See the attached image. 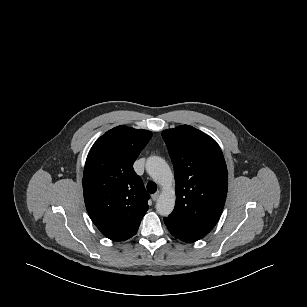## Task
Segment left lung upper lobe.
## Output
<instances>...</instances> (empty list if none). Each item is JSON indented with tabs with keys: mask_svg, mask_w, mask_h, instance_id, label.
Masks as SVG:
<instances>
[{
	"mask_svg": "<svg viewBox=\"0 0 307 307\" xmlns=\"http://www.w3.org/2000/svg\"><path fill=\"white\" fill-rule=\"evenodd\" d=\"M176 180V204L165 219L197 239L208 234L224 207L226 163L219 145L198 129L183 125L162 132Z\"/></svg>",
	"mask_w": 307,
	"mask_h": 307,
	"instance_id": "left-lung-upper-lobe-1",
	"label": "left lung upper lobe"
}]
</instances>
